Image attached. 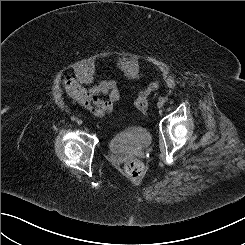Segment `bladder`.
I'll return each mask as SVG.
<instances>
[{
    "instance_id": "31cf9c89",
    "label": "bladder",
    "mask_w": 245,
    "mask_h": 245,
    "mask_svg": "<svg viewBox=\"0 0 245 245\" xmlns=\"http://www.w3.org/2000/svg\"><path fill=\"white\" fill-rule=\"evenodd\" d=\"M152 142L151 132L141 125L119 128L109 137V148L115 155H129L144 150Z\"/></svg>"
}]
</instances>
